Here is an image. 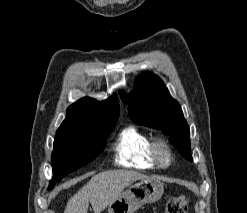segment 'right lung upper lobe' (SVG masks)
Masks as SVG:
<instances>
[{
    "instance_id": "1",
    "label": "right lung upper lobe",
    "mask_w": 247,
    "mask_h": 213,
    "mask_svg": "<svg viewBox=\"0 0 247 213\" xmlns=\"http://www.w3.org/2000/svg\"><path fill=\"white\" fill-rule=\"evenodd\" d=\"M118 117L119 100L115 93L105 101L84 97L68 107L57 133L94 131L116 123Z\"/></svg>"
}]
</instances>
